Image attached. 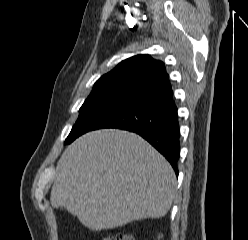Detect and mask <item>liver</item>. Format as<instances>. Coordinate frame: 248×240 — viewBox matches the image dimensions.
I'll return each mask as SVG.
<instances>
[{
	"mask_svg": "<svg viewBox=\"0 0 248 240\" xmlns=\"http://www.w3.org/2000/svg\"><path fill=\"white\" fill-rule=\"evenodd\" d=\"M175 187L171 165L142 137L103 129L79 137L64 151L50 201L100 231L163 217Z\"/></svg>",
	"mask_w": 248,
	"mask_h": 240,
	"instance_id": "1",
	"label": "liver"
}]
</instances>
